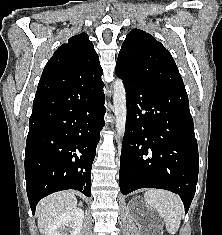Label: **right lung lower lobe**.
I'll use <instances>...</instances> for the list:
<instances>
[{
	"mask_svg": "<svg viewBox=\"0 0 222 235\" xmlns=\"http://www.w3.org/2000/svg\"><path fill=\"white\" fill-rule=\"evenodd\" d=\"M101 75L71 84H38L25 153L33 214L38 201L56 191L91 195V167L105 125Z\"/></svg>",
	"mask_w": 222,
	"mask_h": 235,
	"instance_id": "1",
	"label": "right lung lower lobe"
}]
</instances>
